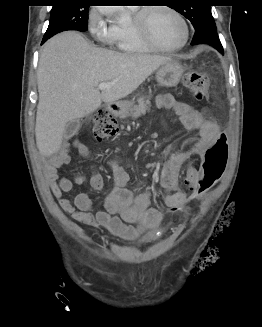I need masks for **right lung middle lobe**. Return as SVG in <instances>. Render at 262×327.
<instances>
[{"label": "right lung middle lobe", "mask_w": 262, "mask_h": 327, "mask_svg": "<svg viewBox=\"0 0 262 327\" xmlns=\"http://www.w3.org/2000/svg\"><path fill=\"white\" fill-rule=\"evenodd\" d=\"M77 1L57 0L58 4L51 10L49 26L43 41L62 31L87 30L89 6L80 5Z\"/></svg>", "instance_id": "1"}]
</instances>
